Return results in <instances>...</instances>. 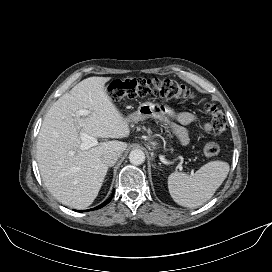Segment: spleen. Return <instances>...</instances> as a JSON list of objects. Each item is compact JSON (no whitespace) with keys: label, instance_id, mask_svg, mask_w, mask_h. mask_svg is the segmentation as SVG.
Instances as JSON below:
<instances>
[{"label":"spleen","instance_id":"obj_1","mask_svg":"<svg viewBox=\"0 0 272 272\" xmlns=\"http://www.w3.org/2000/svg\"><path fill=\"white\" fill-rule=\"evenodd\" d=\"M228 172L229 164L223 161L208 162L191 175L174 172L168 178L169 193L183 207L201 206L212 198Z\"/></svg>","mask_w":272,"mask_h":272}]
</instances>
